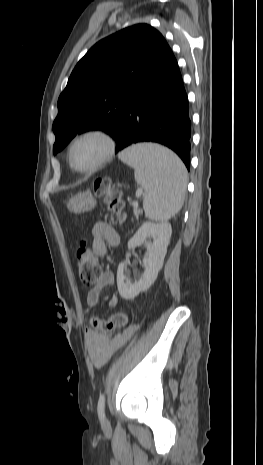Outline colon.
I'll return each mask as SVG.
<instances>
[{
    "mask_svg": "<svg viewBox=\"0 0 263 465\" xmlns=\"http://www.w3.org/2000/svg\"><path fill=\"white\" fill-rule=\"evenodd\" d=\"M94 188L96 194L103 197L107 204L109 210L107 221L111 224L121 223L124 219V214L120 192L113 188L108 178L97 179ZM77 259L78 275L81 283L89 289L95 288L102 275V268L85 240L79 244ZM127 321V315L120 312L111 315L105 320L93 317L91 318V326L99 333L108 334L125 327Z\"/></svg>",
    "mask_w": 263,
    "mask_h": 465,
    "instance_id": "obj_1",
    "label": "colon"
}]
</instances>
